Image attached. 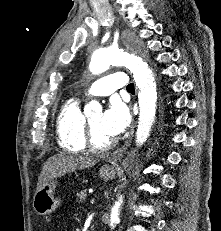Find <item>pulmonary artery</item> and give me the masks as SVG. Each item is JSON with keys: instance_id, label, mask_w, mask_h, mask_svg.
Masks as SVG:
<instances>
[{"instance_id": "1", "label": "pulmonary artery", "mask_w": 221, "mask_h": 231, "mask_svg": "<svg viewBox=\"0 0 221 231\" xmlns=\"http://www.w3.org/2000/svg\"><path fill=\"white\" fill-rule=\"evenodd\" d=\"M128 85L125 74L119 71L96 80L86 89V92L89 96H108L115 90L126 88Z\"/></svg>"}]
</instances>
